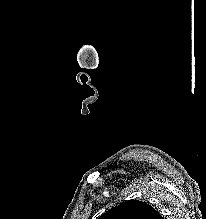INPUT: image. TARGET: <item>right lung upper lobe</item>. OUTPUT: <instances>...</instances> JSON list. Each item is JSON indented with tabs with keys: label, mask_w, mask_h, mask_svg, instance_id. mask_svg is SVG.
<instances>
[{
	"label": "right lung upper lobe",
	"mask_w": 206,
	"mask_h": 219,
	"mask_svg": "<svg viewBox=\"0 0 206 219\" xmlns=\"http://www.w3.org/2000/svg\"><path fill=\"white\" fill-rule=\"evenodd\" d=\"M97 219H163V217L146 202L130 200L106 211Z\"/></svg>",
	"instance_id": "right-lung-upper-lobe-1"
}]
</instances>
